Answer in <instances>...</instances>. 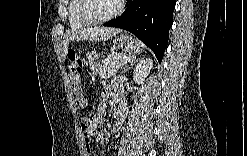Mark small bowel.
Wrapping results in <instances>:
<instances>
[{"label":"small bowel","instance_id":"c3829d8e","mask_svg":"<svg viewBox=\"0 0 247 156\" xmlns=\"http://www.w3.org/2000/svg\"><path fill=\"white\" fill-rule=\"evenodd\" d=\"M80 72H81V64L77 61H73L71 63V65L69 66V73H70V78H71V85L75 90V93L80 96L81 95V90H80ZM114 96L115 98V102L117 105V108H122L123 109V117L120 120H116L114 127H113V132L115 134V136H118L120 134V130H121V125H122V121L125 117V113H126V103H125V99H124V94L122 91V88L118 85H111V86H107L104 87L101 93V100L103 102L107 101L108 98L110 96ZM80 104L82 106H86V101L80 97L79 98ZM88 121L87 118L84 119V122ZM103 121V117L102 115L98 116L95 120L96 124H101ZM84 133V131H83ZM85 137V152L86 154H90L91 153V146H90V141L91 139H89L88 137ZM96 141H102V136L101 134L96 138Z\"/></svg>","mask_w":247,"mask_h":156}]
</instances>
